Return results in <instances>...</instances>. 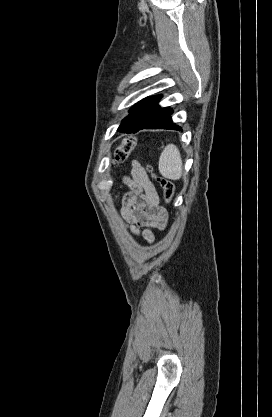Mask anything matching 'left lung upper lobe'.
<instances>
[{
  "mask_svg": "<svg viewBox=\"0 0 272 417\" xmlns=\"http://www.w3.org/2000/svg\"><path fill=\"white\" fill-rule=\"evenodd\" d=\"M160 98L161 95L149 96L135 104L130 109V114L122 121L118 131L131 133L133 130L140 128L160 108L157 104Z\"/></svg>",
  "mask_w": 272,
  "mask_h": 417,
  "instance_id": "left-lung-upper-lobe-1",
  "label": "left lung upper lobe"
}]
</instances>
